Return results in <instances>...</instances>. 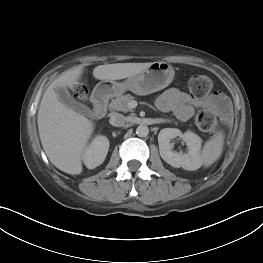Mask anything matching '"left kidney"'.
<instances>
[{"label": "left kidney", "mask_w": 263, "mask_h": 263, "mask_svg": "<svg viewBox=\"0 0 263 263\" xmlns=\"http://www.w3.org/2000/svg\"><path fill=\"white\" fill-rule=\"evenodd\" d=\"M179 136L188 147L187 153L173 151L171 140ZM159 152L161 158L175 168L182 167L185 170H197L201 166L202 139L195 133L187 131L182 133L176 128H165L158 135Z\"/></svg>", "instance_id": "5707ae66"}]
</instances>
